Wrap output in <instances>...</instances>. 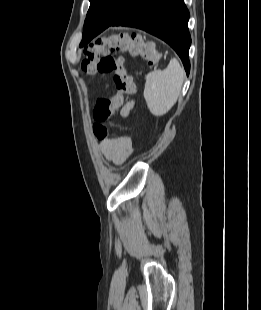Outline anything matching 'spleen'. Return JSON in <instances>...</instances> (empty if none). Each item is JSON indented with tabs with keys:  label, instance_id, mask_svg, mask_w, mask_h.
I'll return each mask as SVG.
<instances>
[{
	"label": "spleen",
	"instance_id": "3e777b00",
	"mask_svg": "<svg viewBox=\"0 0 261 310\" xmlns=\"http://www.w3.org/2000/svg\"><path fill=\"white\" fill-rule=\"evenodd\" d=\"M184 69L171 59L165 70H154L145 77L144 98L157 117L165 115L176 103L184 81Z\"/></svg>",
	"mask_w": 261,
	"mask_h": 310
}]
</instances>
